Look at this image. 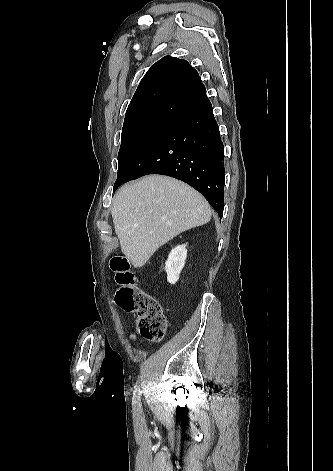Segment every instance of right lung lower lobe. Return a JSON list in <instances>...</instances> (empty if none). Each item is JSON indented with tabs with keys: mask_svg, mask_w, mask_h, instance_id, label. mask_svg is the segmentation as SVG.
Listing matches in <instances>:
<instances>
[{
	"mask_svg": "<svg viewBox=\"0 0 333 471\" xmlns=\"http://www.w3.org/2000/svg\"><path fill=\"white\" fill-rule=\"evenodd\" d=\"M224 146L212 105L204 96L159 133L135 158L118 186L148 174L182 180L198 190L218 212L224 209Z\"/></svg>",
	"mask_w": 333,
	"mask_h": 471,
	"instance_id": "1",
	"label": "right lung lower lobe"
}]
</instances>
